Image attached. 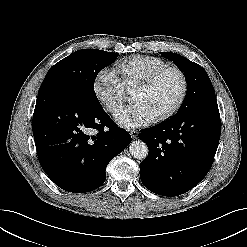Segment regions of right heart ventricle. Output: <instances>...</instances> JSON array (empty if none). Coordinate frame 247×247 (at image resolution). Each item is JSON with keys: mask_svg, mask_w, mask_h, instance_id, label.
Wrapping results in <instances>:
<instances>
[{"mask_svg": "<svg viewBox=\"0 0 247 247\" xmlns=\"http://www.w3.org/2000/svg\"><path fill=\"white\" fill-rule=\"evenodd\" d=\"M167 65L168 63L161 58L137 55L118 61L113 73L122 87L128 88L137 85L147 75Z\"/></svg>", "mask_w": 247, "mask_h": 247, "instance_id": "e07e8e85", "label": "right heart ventricle"}]
</instances>
